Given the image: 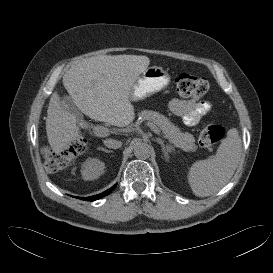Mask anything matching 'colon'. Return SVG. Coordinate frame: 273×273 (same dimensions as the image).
Instances as JSON below:
<instances>
[{"label":"colon","mask_w":273,"mask_h":273,"mask_svg":"<svg viewBox=\"0 0 273 273\" xmlns=\"http://www.w3.org/2000/svg\"><path fill=\"white\" fill-rule=\"evenodd\" d=\"M174 84L178 93L183 97L197 99L205 96L209 91V82L205 78L186 73L177 75L174 79ZM224 135L225 130L221 125L207 122L200 132L199 144L203 148H209L220 142L224 138ZM85 146L84 138L76 137L60 153H55L51 149H45L43 155L47 169L51 172L62 170L72 158L84 151Z\"/></svg>","instance_id":"colon-1"}]
</instances>
